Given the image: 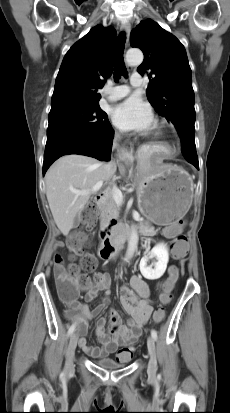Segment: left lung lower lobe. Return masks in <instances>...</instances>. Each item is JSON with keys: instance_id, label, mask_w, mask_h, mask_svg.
<instances>
[{"instance_id": "1", "label": "left lung lower lobe", "mask_w": 230, "mask_h": 413, "mask_svg": "<svg viewBox=\"0 0 230 413\" xmlns=\"http://www.w3.org/2000/svg\"><path fill=\"white\" fill-rule=\"evenodd\" d=\"M181 143L183 144L182 154L184 158L199 170L197 153L196 150L192 149L193 145H195L194 138L187 134H183L181 136Z\"/></svg>"}]
</instances>
